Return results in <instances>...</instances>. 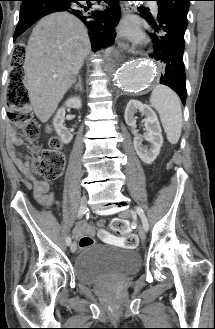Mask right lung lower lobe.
Wrapping results in <instances>:
<instances>
[{"label": "right lung lower lobe", "instance_id": "obj_1", "mask_svg": "<svg viewBox=\"0 0 215 329\" xmlns=\"http://www.w3.org/2000/svg\"><path fill=\"white\" fill-rule=\"evenodd\" d=\"M20 17L14 40L40 18L54 12L66 11L78 17L87 27L92 49L109 46L114 42V27L117 25L121 10L120 0H21ZM86 1L87 5H82ZM90 1H105V11L91 10ZM20 66V65H19ZM17 69L18 66H16Z\"/></svg>", "mask_w": 215, "mask_h": 329}]
</instances>
